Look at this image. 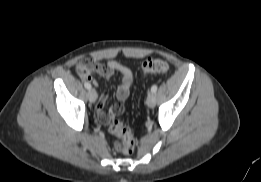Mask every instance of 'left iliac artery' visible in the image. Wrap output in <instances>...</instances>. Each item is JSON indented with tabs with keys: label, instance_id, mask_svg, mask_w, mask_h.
I'll use <instances>...</instances> for the list:
<instances>
[{
	"label": "left iliac artery",
	"instance_id": "left-iliac-artery-1",
	"mask_svg": "<svg viewBox=\"0 0 261 182\" xmlns=\"http://www.w3.org/2000/svg\"><path fill=\"white\" fill-rule=\"evenodd\" d=\"M157 91V85L151 87V92L155 93Z\"/></svg>",
	"mask_w": 261,
	"mask_h": 182
}]
</instances>
